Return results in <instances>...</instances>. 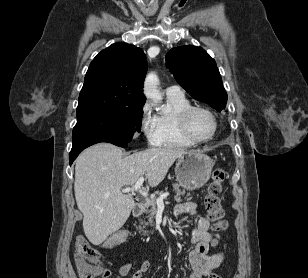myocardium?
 I'll return each mask as SVG.
<instances>
[{
    "instance_id": "obj_1",
    "label": "myocardium",
    "mask_w": 308,
    "mask_h": 278,
    "mask_svg": "<svg viewBox=\"0 0 308 278\" xmlns=\"http://www.w3.org/2000/svg\"><path fill=\"white\" fill-rule=\"evenodd\" d=\"M195 110H201L206 112L212 119L213 121V131L211 133V135L207 138L204 139H200L195 137L189 130L188 127V118L190 116V114L195 111ZM176 122H177V126L181 132V134L190 142L194 143V144H201V143H206L209 142L210 140H212L214 138V136L216 135V132L218 130V121L217 118L215 116V114L207 107L202 106V105H188L186 107H184L183 109H181L177 115H176Z\"/></svg>"
}]
</instances>
